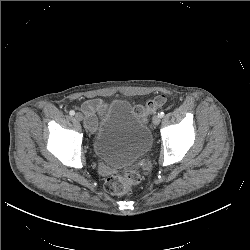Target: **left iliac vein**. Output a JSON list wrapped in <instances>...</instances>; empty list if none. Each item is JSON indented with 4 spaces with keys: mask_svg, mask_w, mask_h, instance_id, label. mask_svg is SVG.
Wrapping results in <instances>:
<instances>
[{
    "mask_svg": "<svg viewBox=\"0 0 250 250\" xmlns=\"http://www.w3.org/2000/svg\"><path fill=\"white\" fill-rule=\"evenodd\" d=\"M160 121H161V118H160L159 115H155V116L153 117V124H154V125H159Z\"/></svg>",
    "mask_w": 250,
    "mask_h": 250,
    "instance_id": "1",
    "label": "left iliac vein"
}]
</instances>
